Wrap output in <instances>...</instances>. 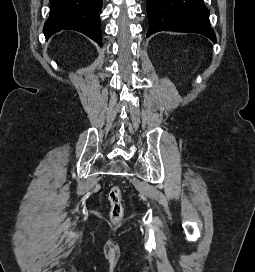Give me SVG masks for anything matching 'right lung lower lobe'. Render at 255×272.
I'll list each match as a JSON object with an SVG mask.
<instances>
[{
    "label": "right lung lower lobe",
    "mask_w": 255,
    "mask_h": 272,
    "mask_svg": "<svg viewBox=\"0 0 255 272\" xmlns=\"http://www.w3.org/2000/svg\"><path fill=\"white\" fill-rule=\"evenodd\" d=\"M50 2V15L43 28L46 39L61 30H75L102 45L99 21L102 0H50Z\"/></svg>",
    "instance_id": "right-lung-lower-lobe-1"
}]
</instances>
